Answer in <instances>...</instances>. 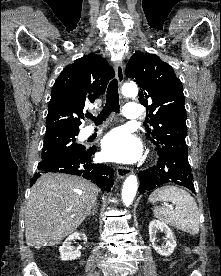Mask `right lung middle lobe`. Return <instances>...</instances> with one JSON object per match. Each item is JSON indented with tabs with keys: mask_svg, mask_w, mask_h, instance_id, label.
I'll list each match as a JSON object with an SVG mask.
<instances>
[{
	"mask_svg": "<svg viewBox=\"0 0 221 276\" xmlns=\"http://www.w3.org/2000/svg\"><path fill=\"white\" fill-rule=\"evenodd\" d=\"M78 132L45 134L41 159L83 152L85 147L75 142Z\"/></svg>",
	"mask_w": 221,
	"mask_h": 276,
	"instance_id": "right-lung-middle-lobe-1",
	"label": "right lung middle lobe"
}]
</instances>
